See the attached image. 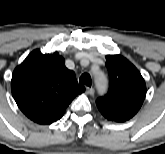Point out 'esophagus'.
<instances>
[{
  "label": "esophagus",
  "mask_w": 165,
  "mask_h": 154,
  "mask_svg": "<svg viewBox=\"0 0 165 154\" xmlns=\"http://www.w3.org/2000/svg\"><path fill=\"white\" fill-rule=\"evenodd\" d=\"M86 92L89 94V95H94V88H92V87H87L86 88Z\"/></svg>",
  "instance_id": "1"
}]
</instances>
